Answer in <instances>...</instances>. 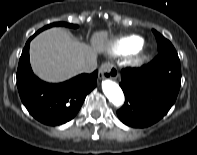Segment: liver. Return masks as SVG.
Wrapping results in <instances>:
<instances>
[{
	"label": "liver",
	"instance_id": "6515ba94",
	"mask_svg": "<svg viewBox=\"0 0 197 155\" xmlns=\"http://www.w3.org/2000/svg\"><path fill=\"white\" fill-rule=\"evenodd\" d=\"M108 41L106 31L93 35L92 45L74 40L62 28H50L37 35L30 44L34 72L43 80L61 82L81 72V67L96 61Z\"/></svg>",
	"mask_w": 197,
	"mask_h": 155
}]
</instances>
